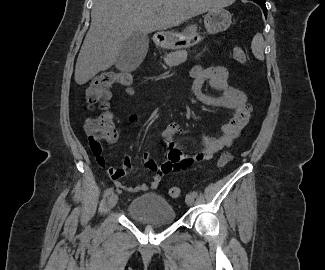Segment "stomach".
I'll use <instances>...</instances> for the list:
<instances>
[{
  "instance_id": "obj_1",
  "label": "stomach",
  "mask_w": 325,
  "mask_h": 270,
  "mask_svg": "<svg viewBox=\"0 0 325 270\" xmlns=\"http://www.w3.org/2000/svg\"><path fill=\"white\" fill-rule=\"evenodd\" d=\"M232 23L231 14L223 9H211L204 17V24L209 34H216L225 31ZM197 32H181L178 34H167L163 45L166 48L178 49L181 47L193 46L201 41Z\"/></svg>"
}]
</instances>
